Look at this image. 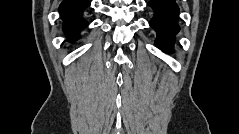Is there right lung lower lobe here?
<instances>
[{
	"label": "right lung lower lobe",
	"instance_id": "obj_1",
	"mask_svg": "<svg viewBox=\"0 0 239 134\" xmlns=\"http://www.w3.org/2000/svg\"><path fill=\"white\" fill-rule=\"evenodd\" d=\"M90 5L87 0H64L59 12L64 22L63 31L69 40L80 38V31L87 26L86 20L82 17V12Z\"/></svg>",
	"mask_w": 239,
	"mask_h": 134
}]
</instances>
